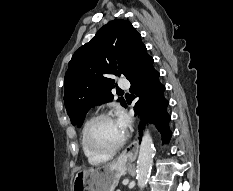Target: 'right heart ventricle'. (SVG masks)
<instances>
[{"instance_id":"e07e8e85","label":"right heart ventricle","mask_w":233,"mask_h":191,"mask_svg":"<svg viewBox=\"0 0 233 191\" xmlns=\"http://www.w3.org/2000/svg\"><path fill=\"white\" fill-rule=\"evenodd\" d=\"M88 122H89V120H87L84 123L82 130H81V135H80L81 147H82L83 153H84L87 161L91 164H98V163L105 161L107 157H100V156L93 155L87 150L85 143H84V132H85V128H86Z\"/></svg>"}]
</instances>
